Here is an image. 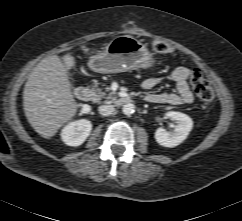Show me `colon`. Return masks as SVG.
Segmentation results:
<instances>
[{
	"label": "colon",
	"instance_id": "colon-1",
	"mask_svg": "<svg viewBox=\"0 0 242 221\" xmlns=\"http://www.w3.org/2000/svg\"><path fill=\"white\" fill-rule=\"evenodd\" d=\"M151 47L153 51L158 53L168 54L174 52L172 46L162 41H154L151 44ZM65 65H68V63L65 62ZM190 83L199 100L207 104L214 100L215 94L212 86L203 77L202 73L198 69L192 71L190 76Z\"/></svg>",
	"mask_w": 242,
	"mask_h": 221
}]
</instances>
